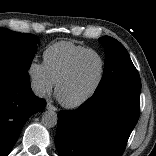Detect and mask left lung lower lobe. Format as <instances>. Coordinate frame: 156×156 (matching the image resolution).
Returning a JSON list of instances; mask_svg holds the SVG:
<instances>
[{
	"mask_svg": "<svg viewBox=\"0 0 156 156\" xmlns=\"http://www.w3.org/2000/svg\"><path fill=\"white\" fill-rule=\"evenodd\" d=\"M140 113V91L104 90L78 109L58 113L60 156H121Z\"/></svg>",
	"mask_w": 156,
	"mask_h": 156,
	"instance_id": "obj_1",
	"label": "left lung lower lobe"
}]
</instances>
